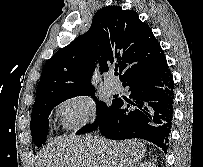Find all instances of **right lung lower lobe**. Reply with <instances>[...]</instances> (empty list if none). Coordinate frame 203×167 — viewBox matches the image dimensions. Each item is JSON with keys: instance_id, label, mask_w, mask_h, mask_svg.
<instances>
[{"instance_id": "right-lung-lower-lobe-1", "label": "right lung lower lobe", "mask_w": 203, "mask_h": 167, "mask_svg": "<svg viewBox=\"0 0 203 167\" xmlns=\"http://www.w3.org/2000/svg\"><path fill=\"white\" fill-rule=\"evenodd\" d=\"M122 85L129 87L133 101L127 104L115 99L98 125L100 132L112 140L145 139L167 153L174 104V81L167 61L126 79Z\"/></svg>"}]
</instances>
